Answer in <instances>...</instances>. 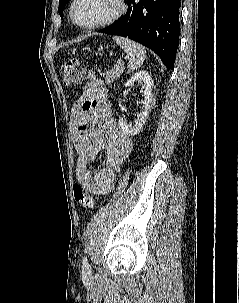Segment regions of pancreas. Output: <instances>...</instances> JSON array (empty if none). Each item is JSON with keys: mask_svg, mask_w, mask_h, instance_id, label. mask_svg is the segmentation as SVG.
Wrapping results in <instances>:
<instances>
[{"mask_svg": "<svg viewBox=\"0 0 239 303\" xmlns=\"http://www.w3.org/2000/svg\"><path fill=\"white\" fill-rule=\"evenodd\" d=\"M124 70V67H120L118 70L116 68L110 69L103 74L104 80L107 84L113 83L116 79L120 77Z\"/></svg>", "mask_w": 239, "mask_h": 303, "instance_id": "pancreas-1", "label": "pancreas"}]
</instances>
